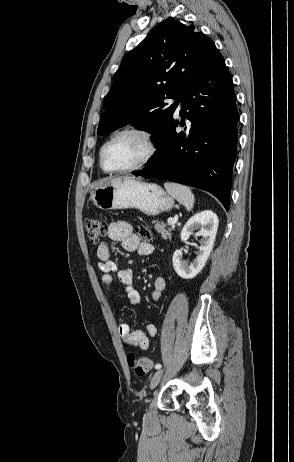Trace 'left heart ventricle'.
<instances>
[{
	"mask_svg": "<svg viewBox=\"0 0 294 462\" xmlns=\"http://www.w3.org/2000/svg\"><path fill=\"white\" fill-rule=\"evenodd\" d=\"M146 152V143L140 136L124 134L106 147L104 166L109 170L127 168L138 163Z\"/></svg>",
	"mask_w": 294,
	"mask_h": 462,
	"instance_id": "left-heart-ventricle-1",
	"label": "left heart ventricle"
}]
</instances>
